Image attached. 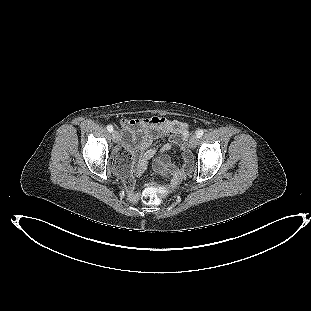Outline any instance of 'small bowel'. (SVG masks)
<instances>
[{"label":"small bowel","mask_w":311,"mask_h":311,"mask_svg":"<svg viewBox=\"0 0 311 311\" xmlns=\"http://www.w3.org/2000/svg\"><path fill=\"white\" fill-rule=\"evenodd\" d=\"M120 124L123 133L119 148L123 150L119 154V165L124 161L126 165L131 163V174L140 177L147 170L149 161L160 154L163 156L156 161L157 171L168 172L173 183H177L186 175L191 166V158L187 153L181 166L173 165L170 158L164 156L172 148L186 151L188 131L184 123L155 116L145 119H122ZM163 136H170V140L162 146H154V140ZM129 195L132 200L138 197L137 189L132 182L129 183Z\"/></svg>","instance_id":"small-bowel-1"}]
</instances>
